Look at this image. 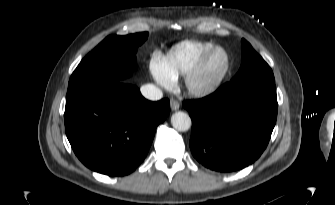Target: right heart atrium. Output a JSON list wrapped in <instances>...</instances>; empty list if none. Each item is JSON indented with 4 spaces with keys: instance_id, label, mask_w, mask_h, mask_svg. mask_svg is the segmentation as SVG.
<instances>
[{
    "instance_id": "d8ad5b80",
    "label": "right heart atrium",
    "mask_w": 335,
    "mask_h": 205,
    "mask_svg": "<svg viewBox=\"0 0 335 205\" xmlns=\"http://www.w3.org/2000/svg\"><path fill=\"white\" fill-rule=\"evenodd\" d=\"M150 71L154 80L164 88L171 87L174 83V78L167 72L164 66V59L155 54L150 63Z\"/></svg>"
}]
</instances>
